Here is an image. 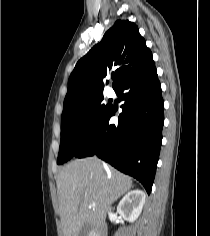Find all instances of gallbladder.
<instances>
[{
  "instance_id": "1",
  "label": "gallbladder",
  "mask_w": 210,
  "mask_h": 236,
  "mask_svg": "<svg viewBox=\"0 0 210 236\" xmlns=\"http://www.w3.org/2000/svg\"><path fill=\"white\" fill-rule=\"evenodd\" d=\"M89 231H90V226L88 224H86L82 227L78 236H88Z\"/></svg>"
}]
</instances>
